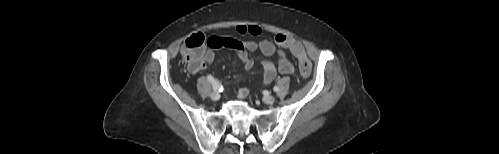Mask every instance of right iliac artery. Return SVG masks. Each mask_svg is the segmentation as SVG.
I'll list each match as a JSON object with an SVG mask.
<instances>
[{
	"instance_id": "obj_1",
	"label": "right iliac artery",
	"mask_w": 499,
	"mask_h": 154,
	"mask_svg": "<svg viewBox=\"0 0 499 154\" xmlns=\"http://www.w3.org/2000/svg\"><path fill=\"white\" fill-rule=\"evenodd\" d=\"M207 79L212 84V88L214 91L218 92L223 91V86L218 81H216L211 75H208Z\"/></svg>"
}]
</instances>
